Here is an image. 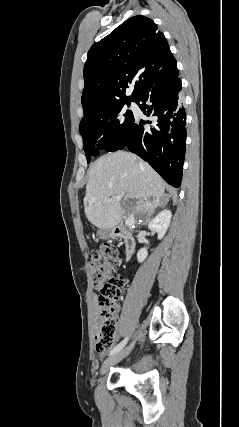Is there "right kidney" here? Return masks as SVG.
<instances>
[{"mask_svg":"<svg viewBox=\"0 0 239 427\" xmlns=\"http://www.w3.org/2000/svg\"><path fill=\"white\" fill-rule=\"evenodd\" d=\"M172 213L170 210H162L151 222L148 224V228L151 231H154L158 234V239L161 240L171 221ZM148 256V251L146 248H141L137 253V260L139 263H142Z\"/></svg>","mask_w":239,"mask_h":427,"instance_id":"obj_1","label":"right kidney"}]
</instances>
